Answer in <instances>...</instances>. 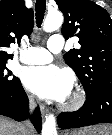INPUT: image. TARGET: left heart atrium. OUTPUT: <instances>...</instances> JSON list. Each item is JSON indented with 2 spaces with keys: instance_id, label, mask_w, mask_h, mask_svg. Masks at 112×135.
I'll list each match as a JSON object with an SVG mask.
<instances>
[{
  "instance_id": "39dd6f15",
  "label": "left heart atrium",
  "mask_w": 112,
  "mask_h": 135,
  "mask_svg": "<svg viewBox=\"0 0 112 135\" xmlns=\"http://www.w3.org/2000/svg\"><path fill=\"white\" fill-rule=\"evenodd\" d=\"M24 86L43 99L64 100L72 90V75L57 66H30L23 70Z\"/></svg>"
}]
</instances>
